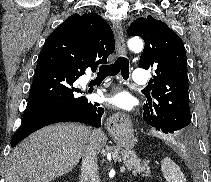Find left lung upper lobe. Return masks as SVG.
I'll list each match as a JSON object with an SVG mask.
<instances>
[{"label": "left lung upper lobe", "mask_w": 211, "mask_h": 182, "mask_svg": "<svg viewBox=\"0 0 211 182\" xmlns=\"http://www.w3.org/2000/svg\"><path fill=\"white\" fill-rule=\"evenodd\" d=\"M129 36H140L145 42L139 66L154 69L149 82L152 97L144 104L143 118L158 131L188 137L189 109L187 58L183 41L164 22L151 16L135 20Z\"/></svg>", "instance_id": "obj_1"}]
</instances>
